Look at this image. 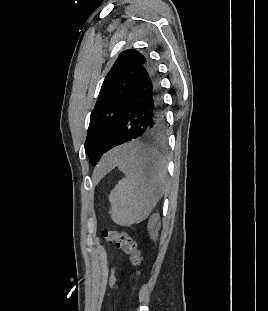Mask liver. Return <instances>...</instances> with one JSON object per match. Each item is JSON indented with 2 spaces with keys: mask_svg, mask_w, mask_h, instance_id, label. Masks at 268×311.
I'll use <instances>...</instances> for the list:
<instances>
[{
  "mask_svg": "<svg viewBox=\"0 0 268 311\" xmlns=\"http://www.w3.org/2000/svg\"><path fill=\"white\" fill-rule=\"evenodd\" d=\"M114 157H115V151H112L109 154H107L105 159L99 165L98 170H102L106 168L107 166L112 165L114 161Z\"/></svg>",
  "mask_w": 268,
  "mask_h": 311,
  "instance_id": "6515ba94",
  "label": "liver"
}]
</instances>
